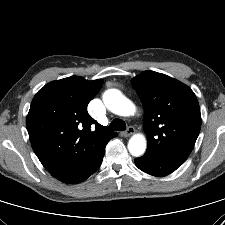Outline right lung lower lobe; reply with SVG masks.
Masks as SVG:
<instances>
[{"instance_id": "1", "label": "right lung lower lobe", "mask_w": 225, "mask_h": 225, "mask_svg": "<svg viewBox=\"0 0 225 225\" xmlns=\"http://www.w3.org/2000/svg\"><path fill=\"white\" fill-rule=\"evenodd\" d=\"M107 143L108 142H106L104 145H102V147L99 149V151L97 153V157L92 166H90L84 170L78 171L75 174L70 175L69 177L64 178L60 181L66 183V184H77V183L84 181L90 175H92L100 167V165L102 163L103 156L105 153V146Z\"/></svg>"}]
</instances>
